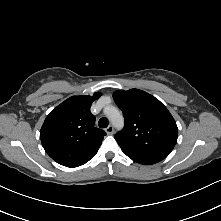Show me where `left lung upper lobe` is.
I'll use <instances>...</instances> for the list:
<instances>
[{
  "label": "left lung upper lobe",
  "mask_w": 221,
  "mask_h": 221,
  "mask_svg": "<svg viewBox=\"0 0 221 221\" xmlns=\"http://www.w3.org/2000/svg\"><path fill=\"white\" fill-rule=\"evenodd\" d=\"M113 98L125 118L123 130L115 134L121 150L166 158L178 138L176 122L168 109L139 89L118 90Z\"/></svg>",
  "instance_id": "left-lung-upper-lobe-1"
}]
</instances>
